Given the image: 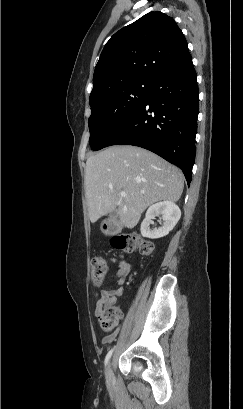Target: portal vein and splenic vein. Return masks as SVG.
<instances>
[{
  "label": "portal vein and splenic vein",
  "mask_w": 243,
  "mask_h": 409,
  "mask_svg": "<svg viewBox=\"0 0 243 409\" xmlns=\"http://www.w3.org/2000/svg\"><path fill=\"white\" fill-rule=\"evenodd\" d=\"M120 195L122 196V197H126V192H124V191H122L121 193H120Z\"/></svg>",
  "instance_id": "1"
}]
</instances>
